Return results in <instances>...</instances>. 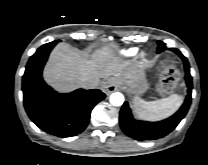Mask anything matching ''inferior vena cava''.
Listing matches in <instances>:
<instances>
[{"label":"inferior vena cava","mask_w":208,"mask_h":165,"mask_svg":"<svg viewBox=\"0 0 208 165\" xmlns=\"http://www.w3.org/2000/svg\"><path fill=\"white\" fill-rule=\"evenodd\" d=\"M98 85H99V80H91V81L85 83L84 88L94 89V88H97Z\"/></svg>","instance_id":"1"}]
</instances>
